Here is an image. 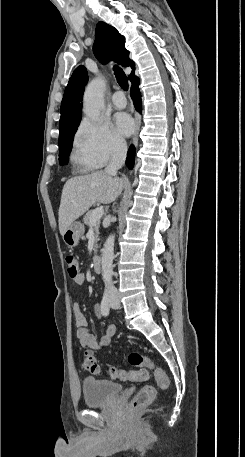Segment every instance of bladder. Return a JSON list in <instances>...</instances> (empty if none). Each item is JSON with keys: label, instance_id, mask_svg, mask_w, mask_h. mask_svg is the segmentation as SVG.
I'll return each instance as SVG.
<instances>
[{"label": "bladder", "instance_id": "31cf9c89", "mask_svg": "<svg viewBox=\"0 0 245 457\" xmlns=\"http://www.w3.org/2000/svg\"><path fill=\"white\" fill-rule=\"evenodd\" d=\"M120 390V383L87 378L83 381L85 406L110 403V398L118 395Z\"/></svg>", "mask_w": 245, "mask_h": 457}]
</instances>
